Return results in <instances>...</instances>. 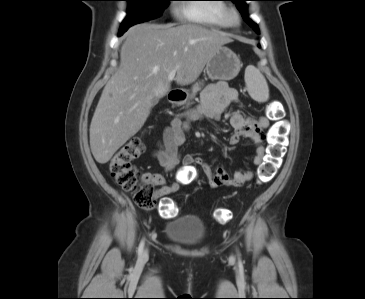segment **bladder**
I'll use <instances>...</instances> for the list:
<instances>
[{
    "label": "bladder",
    "instance_id": "obj_1",
    "mask_svg": "<svg viewBox=\"0 0 365 299\" xmlns=\"http://www.w3.org/2000/svg\"><path fill=\"white\" fill-rule=\"evenodd\" d=\"M207 234L203 221L195 215H184L166 224L165 237L173 244L194 246L201 243Z\"/></svg>",
    "mask_w": 365,
    "mask_h": 299
}]
</instances>
